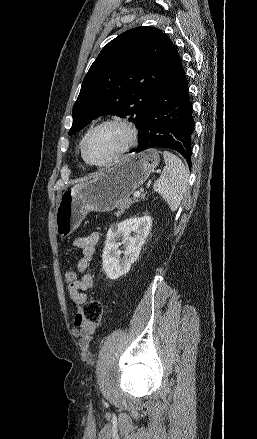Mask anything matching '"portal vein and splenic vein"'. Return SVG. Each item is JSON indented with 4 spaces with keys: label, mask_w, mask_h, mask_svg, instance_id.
<instances>
[{
    "label": "portal vein and splenic vein",
    "mask_w": 257,
    "mask_h": 439,
    "mask_svg": "<svg viewBox=\"0 0 257 439\" xmlns=\"http://www.w3.org/2000/svg\"><path fill=\"white\" fill-rule=\"evenodd\" d=\"M142 192H144V189H143V188H141L139 191H135L134 194H133V196H134V197H139V196L141 195Z\"/></svg>",
    "instance_id": "1"
}]
</instances>
